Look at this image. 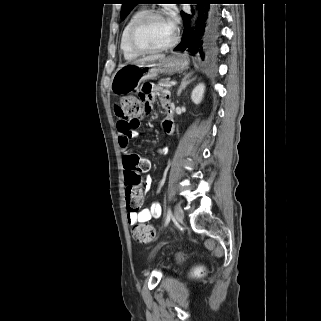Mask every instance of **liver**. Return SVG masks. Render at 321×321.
I'll use <instances>...</instances> for the list:
<instances>
[{
    "mask_svg": "<svg viewBox=\"0 0 321 321\" xmlns=\"http://www.w3.org/2000/svg\"><path fill=\"white\" fill-rule=\"evenodd\" d=\"M164 57H165L164 55H151V56H147L142 59H139V60L135 61L134 63L138 64V63L151 62V61H156V60L162 59Z\"/></svg>",
    "mask_w": 321,
    "mask_h": 321,
    "instance_id": "liver-1",
    "label": "liver"
}]
</instances>
